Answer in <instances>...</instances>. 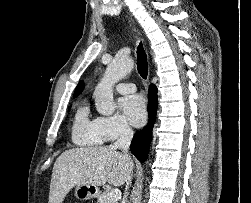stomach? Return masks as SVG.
<instances>
[{
    "label": "stomach",
    "instance_id": "0dacf381",
    "mask_svg": "<svg viewBox=\"0 0 251 203\" xmlns=\"http://www.w3.org/2000/svg\"><path fill=\"white\" fill-rule=\"evenodd\" d=\"M99 194V190L96 186L80 184L75 188V196L81 200H88L94 198Z\"/></svg>",
    "mask_w": 251,
    "mask_h": 203
}]
</instances>
